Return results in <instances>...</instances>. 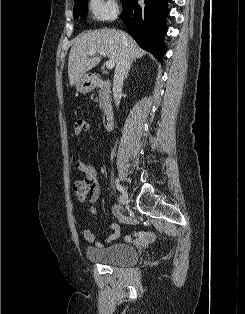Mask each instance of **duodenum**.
Instances as JSON below:
<instances>
[{
    "label": "duodenum",
    "mask_w": 245,
    "mask_h": 314,
    "mask_svg": "<svg viewBox=\"0 0 245 314\" xmlns=\"http://www.w3.org/2000/svg\"><path fill=\"white\" fill-rule=\"evenodd\" d=\"M93 83L95 86L102 85L103 83H108V81L103 80L102 78L93 79ZM114 125V114L111 108H107L104 114V126L107 131H111Z\"/></svg>",
    "instance_id": "410a0bca"
}]
</instances>
